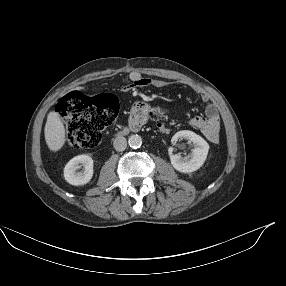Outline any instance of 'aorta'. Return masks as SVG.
Segmentation results:
<instances>
[{"label": "aorta", "instance_id": "obj_1", "mask_svg": "<svg viewBox=\"0 0 286 286\" xmlns=\"http://www.w3.org/2000/svg\"><path fill=\"white\" fill-rule=\"evenodd\" d=\"M128 143L132 148H139L142 145V138L139 135H131Z\"/></svg>", "mask_w": 286, "mask_h": 286}]
</instances>
